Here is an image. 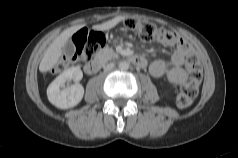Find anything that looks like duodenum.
Returning a JSON list of instances; mask_svg holds the SVG:
<instances>
[{
  "mask_svg": "<svg viewBox=\"0 0 238 158\" xmlns=\"http://www.w3.org/2000/svg\"><path fill=\"white\" fill-rule=\"evenodd\" d=\"M130 60L134 65L140 68H144L147 64V61L144 57L137 56V55L131 56ZM101 65H102V62L98 59L89 61L84 65V71L87 74H94L101 68Z\"/></svg>",
  "mask_w": 238,
  "mask_h": 158,
  "instance_id": "obj_1",
  "label": "duodenum"
}]
</instances>
